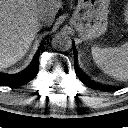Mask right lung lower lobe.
Instances as JSON below:
<instances>
[{
    "mask_svg": "<svg viewBox=\"0 0 128 128\" xmlns=\"http://www.w3.org/2000/svg\"><path fill=\"white\" fill-rule=\"evenodd\" d=\"M40 48L35 54V57L29 67L23 70L22 72L13 75L0 73V86L15 87L31 81L37 75L39 70Z\"/></svg>",
    "mask_w": 128,
    "mask_h": 128,
    "instance_id": "1",
    "label": "right lung lower lobe"
}]
</instances>
